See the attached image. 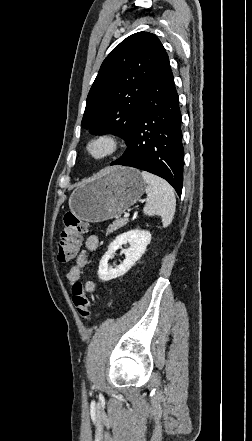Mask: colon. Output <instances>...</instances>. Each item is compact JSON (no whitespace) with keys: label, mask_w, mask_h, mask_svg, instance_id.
I'll return each instance as SVG.
<instances>
[{"label":"colon","mask_w":252,"mask_h":441,"mask_svg":"<svg viewBox=\"0 0 252 441\" xmlns=\"http://www.w3.org/2000/svg\"><path fill=\"white\" fill-rule=\"evenodd\" d=\"M64 228L58 242L57 260L60 263L69 262L76 254L82 241L83 234L90 229L88 223L80 220L72 213H66L63 218ZM72 301L81 317H89L90 300L82 282L76 281L72 286Z\"/></svg>","instance_id":"colon-1"}]
</instances>
